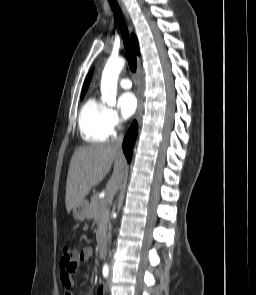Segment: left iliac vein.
Here are the masks:
<instances>
[{
	"mask_svg": "<svg viewBox=\"0 0 256 295\" xmlns=\"http://www.w3.org/2000/svg\"><path fill=\"white\" fill-rule=\"evenodd\" d=\"M112 271H110V274H109V277H108V280H107V285L110 287L112 285Z\"/></svg>",
	"mask_w": 256,
	"mask_h": 295,
	"instance_id": "obj_1",
	"label": "left iliac vein"
}]
</instances>
